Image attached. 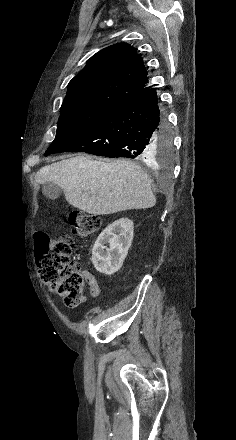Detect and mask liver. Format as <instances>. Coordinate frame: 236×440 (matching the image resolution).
Returning <instances> with one entry per match:
<instances>
[{
	"instance_id": "1",
	"label": "liver",
	"mask_w": 236,
	"mask_h": 440,
	"mask_svg": "<svg viewBox=\"0 0 236 440\" xmlns=\"http://www.w3.org/2000/svg\"><path fill=\"white\" fill-rule=\"evenodd\" d=\"M35 180L56 184L70 205L92 215L148 209L156 204L150 178L139 165L124 159L106 163L76 156L42 167Z\"/></svg>"
}]
</instances>
